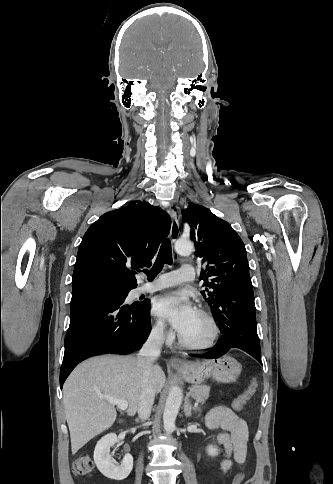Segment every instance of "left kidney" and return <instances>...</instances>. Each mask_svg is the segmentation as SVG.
Listing matches in <instances>:
<instances>
[{
	"mask_svg": "<svg viewBox=\"0 0 333 484\" xmlns=\"http://www.w3.org/2000/svg\"><path fill=\"white\" fill-rule=\"evenodd\" d=\"M218 451H219L218 448L215 447V446H213V445H209L207 447V453L210 456H217L218 455Z\"/></svg>",
	"mask_w": 333,
	"mask_h": 484,
	"instance_id": "1",
	"label": "left kidney"
}]
</instances>
